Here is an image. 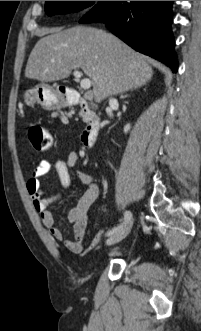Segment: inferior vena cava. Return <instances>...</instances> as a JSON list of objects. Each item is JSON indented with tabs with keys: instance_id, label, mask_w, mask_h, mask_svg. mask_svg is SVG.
<instances>
[{
	"instance_id": "1",
	"label": "inferior vena cava",
	"mask_w": 201,
	"mask_h": 331,
	"mask_svg": "<svg viewBox=\"0 0 201 331\" xmlns=\"http://www.w3.org/2000/svg\"><path fill=\"white\" fill-rule=\"evenodd\" d=\"M116 99L112 98L109 100V107L106 109V111L109 113V116L112 117V106L116 103Z\"/></svg>"
}]
</instances>
